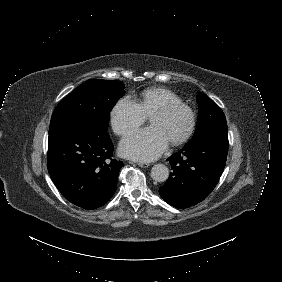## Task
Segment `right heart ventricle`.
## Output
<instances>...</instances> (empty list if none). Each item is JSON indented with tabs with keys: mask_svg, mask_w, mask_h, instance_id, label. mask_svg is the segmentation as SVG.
Here are the masks:
<instances>
[{
	"mask_svg": "<svg viewBox=\"0 0 282 282\" xmlns=\"http://www.w3.org/2000/svg\"><path fill=\"white\" fill-rule=\"evenodd\" d=\"M166 100L180 102V99L174 93L164 88L148 89L140 97L134 99L146 117H149Z\"/></svg>",
	"mask_w": 282,
	"mask_h": 282,
	"instance_id": "e07e8e85",
	"label": "right heart ventricle"
}]
</instances>
